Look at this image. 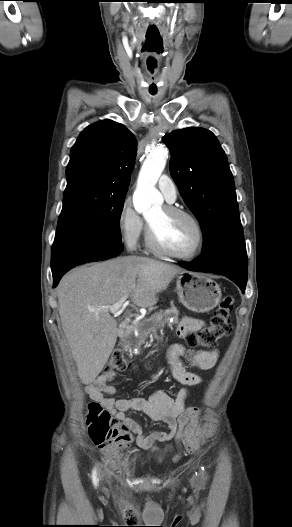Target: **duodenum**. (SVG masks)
<instances>
[{
	"mask_svg": "<svg viewBox=\"0 0 292 527\" xmlns=\"http://www.w3.org/2000/svg\"><path fill=\"white\" fill-rule=\"evenodd\" d=\"M134 325L135 320L133 317L123 321L119 327V336L121 338H125L126 336H128L132 332Z\"/></svg>",
	"mask_w": 292,
	"mask_h": 527,
	"instance_id": "1",
	"label": "duodenum"
}]
</instances>
